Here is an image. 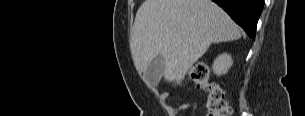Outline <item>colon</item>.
<instances>
[{
	"mask_svg": "<svg viewBox=\"0 0 305 116\" xmlns=\"http://www.w3.org/2000/svg\"><path fill=\"white\" fill-rule=\"evenodd\" d=\"M189 76L207 94V116H230L232 114V108L225 100L222 89L210 79V69L208 66L202 63L194 64L190 68Z\"/></svg>",
	"mask_w": 305,
	"mask_h": 116,
	"instance_id": "5ec220e1",
	"label": "colon"
}]
</instances>
